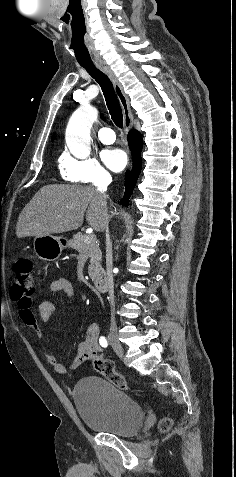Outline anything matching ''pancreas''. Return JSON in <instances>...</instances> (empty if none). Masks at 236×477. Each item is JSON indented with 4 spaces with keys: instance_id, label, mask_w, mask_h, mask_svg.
<instances>
[{
    "instance_id": "1",
    "label": "pancreas",
    "mask_w": 236,
    "mask_h": 477,
    "mask_svg": "<svg viewBox=\"0 0 236 477\" xmlns=\"http://www.w3.org/2000/svg\"><path fill=\"white\" fill-rule=\"evenodd\" d=\"M85 238L86 235L78 233L68 243L71 248L77 250L86 259L90 258L88 274L92 280H96L104 272L101 266L102 253L99 244L95 240L85 243Z\"/></svg>"
}]
</instances>
